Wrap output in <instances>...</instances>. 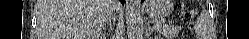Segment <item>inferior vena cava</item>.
I'll return each instance as SVG.
<instances>
[{"label":"inferior vena cava","mask_w":249,"mask_h":39,"mask_svg":"<svg viewBox=\"0 0 249 39\" xmlns=\"http://www.w3.org/2000/svg\"><path fill=\"white\" fill-rule=\"evenodd\" d=\"M113 13V12H112ZM112 13L106 18V22L108 21V20H110L111 19V17H112ZM105 22V23H106ZM95 38H97V36L95 37Z\"/></svg>","instance_id":"1"}]
</instances>
